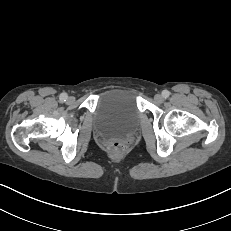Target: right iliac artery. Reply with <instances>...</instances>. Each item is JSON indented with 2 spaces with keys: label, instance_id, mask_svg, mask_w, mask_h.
Instances as JSON below:
<instances>
[{
  "label": "right iliac artery",
  "instance_id": "obj_1",
  "mask_svg": "<svg viewBox=\"0 0 231 231\" xmlns=\"http://www.w3.org/2000/svg\"><path fill=\"white\" fill-rule=\"evenodd\" d=\"M67 98H68V96H67L66 93H62V94L60 95V101H61V102H65V101L67 100Z\"/></svg>",
  "mask_w": 231,
  "mask_h": 231
}]
</instances>
